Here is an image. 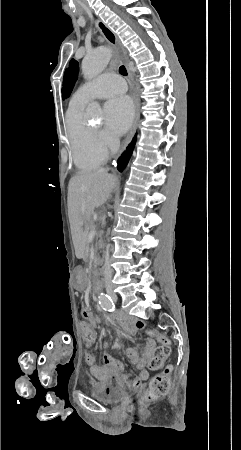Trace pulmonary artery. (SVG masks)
<instances>
[{
  "label": "pulmonary artery",
  "instance_id": "obj_1",
  "mask_svg": "<svg viewBox=\"0 0 241 450\" xmlns=\"http://www.w3.org/2000/svg\"><path fill=\"white\" fill-rule=\"evenodd\" d=\"M125 91V80L119 74H101L94 81L83 85L73 97V100L88 102L90 98L104 99L115 102L118 92Z\"/></svg>",
  "mask_w": 241,
  "mask_h": 450
}]
</instances>
